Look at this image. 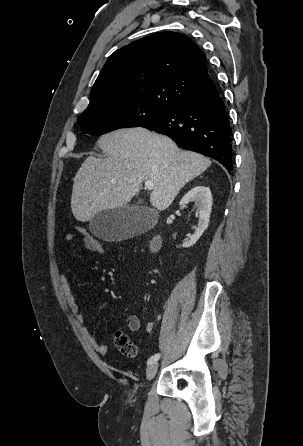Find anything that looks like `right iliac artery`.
Masks as SVG:
<instances>
[{
  "label": "right iliac artery",
  "mask_w": 303,
  "mask_h": 446,
  "mask_svg": "<svg viewBox=\"0 0 303 446\" xmlns=\"http://www.w3.org/2000/svg\"><path fill=\"white\" fill-rule=\"evenodd\" d=\"M159 358H160V354H159V353H157V354L151 356V357L148 359V361H147V365H150V364L156 362Z\"/></svg>",
  "instance_id": "obj_1"
}]
</instances>
